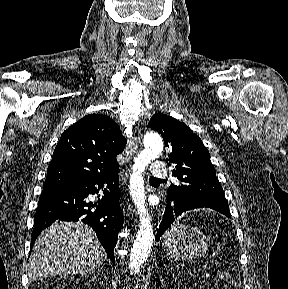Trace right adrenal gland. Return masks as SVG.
I'll return each mask as SVG.
<instances>
[{
    "label": "right adrenal gland",
    "mask_w": 288,
    "mask_h": 289,
    "mask_svg": "<svg viewBox=\"0 0 288 289\" xmlns=\"http://www.w3.org/2000/svg\"><path fill=\"white\" fill-rule=\"evenodd\" d=\"M99 276H100V274L97 272L96 275L94 277H92V278L95 279V280H98Z\"/></svg>",
    "instance_id": "1"
}]
</instances>
